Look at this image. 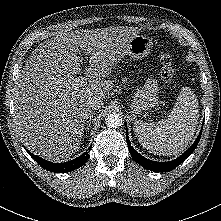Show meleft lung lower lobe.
I'll return each mask as SVG.
<instances>
[{
  "label": "left lung lower lobe",
  "mask_w": 221,
  "mask_h": 221,
  "mask_svg": "<svg viewBox=\"0 0 221 221\" xmlns=\"http://www.w3.org/2000/svg\"><path fill=\"white\" fill-rule=\"evenodd\" d=\"M202 130L197 137L196 141L193 143V145L186 151L184 152L180 157L177 159L170 161V162H156L149 160L142 155H140L135 149L131 146V143L129 141V136H128V131L126 130V139H127V144L129 146V151L134 159L135 162H137L139 165H141L143 168H146L148 170L154 171V172H169L173 169H175L180 163H182L191 153L195 150L200 137H201Z\"/></svg>",
  "instance_id": "0a47b994"
}]
</instances>
